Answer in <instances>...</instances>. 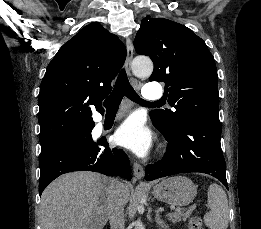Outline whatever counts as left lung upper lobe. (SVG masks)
<instances>
[{
    "mask_svg": "<svg viewBox=\"0 0 261 229\" xmlns=\"http://www.w3.org/2000/svg\"><path fill=\"white\" fill-rule=\"evenodd\" d=\"M134 47L154 63L150 81L165 82L166 98L174 111L150 112L164 134L174 135L184 123L201 117L219 124L218 75L205 42L189 28L164 18L146 17Z\"/></svg>",
    "mask_w": 261,
    "mask_h": 229,
    "instance_id": "1",
    "label": "left lung upper lobe"
}]
</instances>
